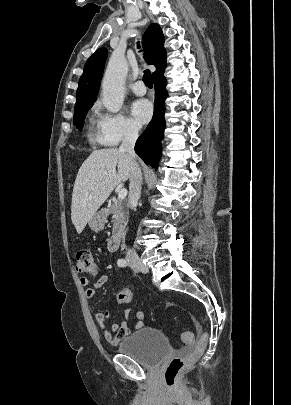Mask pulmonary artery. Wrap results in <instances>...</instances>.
<instances>
[{
  "label": "pulmonary artery",
  "mask_w": 291,
  "mask_h": 405,
  "mask_svg": "<svg viewBox=\"0 0 291 405\" xmlns=\"http://www.w3.org/2000/svg\"><path fill=\"white\" fill-rule=\"evenodd\" d=\"M132 90L138 96H142L146 93V87L142 81H137L136 83H134L132 86Z\"/></svg>",
  "instance_id": "pulmonary-artery-1"
}]
</instances>
